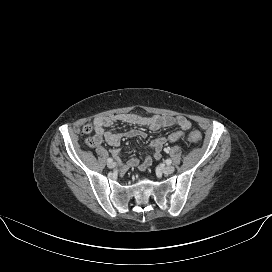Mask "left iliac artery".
I'll return each instance as SVG.
<instances>
[{
	"label": "left iliac artery",
	"instance_id": "left-iliac-artery-1",
	"mask_svg": "<svg viewBox=\"0 0 272 272\" xmlns=\"http://www.w3.org/2000/svg\"><path fill=\"white\" fill-rule=\"evenodd\" d=\"M169 150H170L169 148H165V152L166 153H168ZM165 162H166L167 165H170L172 163V160L171 159H167Z\"/></svg>",
	"mask_w": 272,
	"mask_h": 272
}]
</instances>
